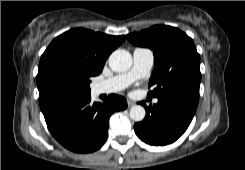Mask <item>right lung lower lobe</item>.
<instances>
[{
    "mask_svg": "<svg viewBox=\"0 0 245 170\" xmlns=\"http://www.w3.org/2000/svg\"><path fill=\"white\" fill-rule=\"evenodd\" d=\"M127 108L126 100L109 95L104 103H91V96L64 103L44 115L53 137L65 148L76 153L99 149L107 139L110 116Z\"/></svg>",
    "mask_w": 245,
    "mask_h": 170,
    "instance_id": "98d812e1",
    "label": "right lung lower lobe"
}]
</instances>
